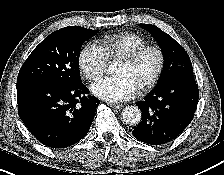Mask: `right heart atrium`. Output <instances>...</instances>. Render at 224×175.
Listing matches in <instances>:
<instances>
[{
	"mask_svg": "<svg viewBox=\"0 0 224 175\" xmlns=\"http://www.w3.org/2000/svg\"><path fill=\"white\" fill-rule=\"evenodd\" d=\"M78 62L85 77L96 81L103 75L108 58L100 46L89 43L82 48Z\"/></svg>",
	"mask_w": 224,
	"mask_h": 175,
	"instance_id": "right-heart-atrium-1",
	"label": "right heart atrium"
}]
</instances>
